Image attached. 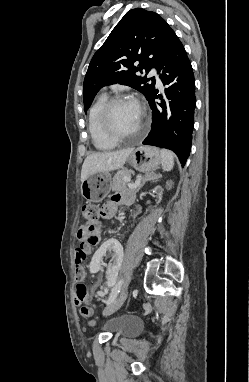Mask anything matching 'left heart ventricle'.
Segmentation results:
<instances>
[{"label": "left heart ventricle", "instance_id": "left-heart-ventricle-1", "mask_svg": "<svg viewBox=\"0 0 249 382\" xmlns=\"http://www.w3.org/2000/svg\"><path fill=\"white\" fill-rule=\"evenodd\" d=\"M141 120V111L130 101L116 104L110 114L113 129L122 135L136 132Z\"/></svg>", "mask_w": 249, "mask_h": 382}]
</instances>
